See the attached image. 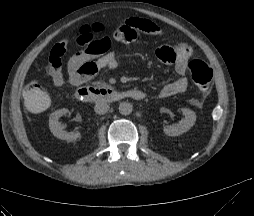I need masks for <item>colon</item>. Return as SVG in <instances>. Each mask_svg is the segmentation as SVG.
Wrapping results in <instances>:
<instances>
[{
  "instance_id": "5ec220e1",
  "label": "colon",
  "mask_w": 254,
  "mask_h": 216,
  "mask_svg": "<svg viewBox=\"0 0 254 216\" xmlns=\"http://www.w3.org/2000/svg\"><path fill=\"white\" fill-rule=\"evenodd\" d=\"M121 27L128 28L126 24ZM103 32V26L100 24L83 26L76 34V42L80 46H92L101 51L106 50L110 45V39ZM187 71L199 90L207 92L210 89L213 70L208 63L200 59H191L187 64ZM23 98L26 106L35 112L44 111L50 102L49 95L37 82L29 83L25 87Z\"/></svg>"
}]
</instances>
